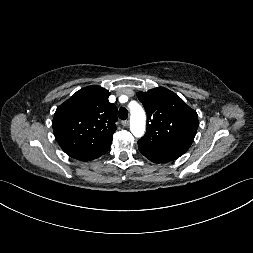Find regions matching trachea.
Here are the masks:
<instances>
[{
  "instance_id": "trachea-1",
  "label": "trachea",
  "mask_w": 253,
  "mask_h": 253,
  "mask_svg": "<svg viewBox=\"0 0 253 253\" xmlns=\"http://www.w3.org/2000/svg\"><path fill=\"white\" fill-rule=\"evenodd\" d=\"M118 116L121 120H126L128 117V110L124 107L120 108L118 111Z\"/></svg>"
}]
</instances>
